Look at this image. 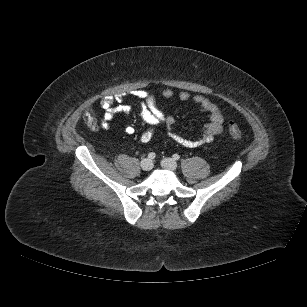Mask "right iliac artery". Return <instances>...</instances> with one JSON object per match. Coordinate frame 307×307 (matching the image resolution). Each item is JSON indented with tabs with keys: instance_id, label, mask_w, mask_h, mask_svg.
Listing matches in <instances>:
<instances>
[{
	"instance_id": "obj_1",
	"label": "right iliac artery",
	"mask_w": 307,
	"mask_h": 307,
	"mask_svg": "<svg viewBox=\"0 0 307 307\" xmlns=\"http://www.w3.org/2000/svg\"><path fill=\"white\" fill-rule=\"evenodd\" d=\"M155 156H156L155 153L150 152V153L148 154V159L152 160V159L155 158Z\"/></svg>"
}]
</instances>
